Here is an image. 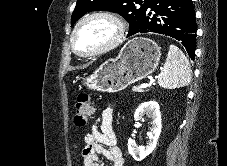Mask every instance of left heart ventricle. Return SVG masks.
I'll return each instance as SVG.
<instances>
[{"label": "left heart ventricle", "instance_id": "left-heart-ventricle-1", "mask_svg": "<svg viewBox=\"0 0 227 166\" xmlns=\"http://www.w3.org/2000/svg\"><path fill=\"white\" fill-rule=\"evenodd\" d=\"M116 34L113 24L97 18L86 22L77 32L76 47L83 52H90L108 43Z\"/></svg>", "mask_w": 227, "mask_h": 166}]
</instances>
